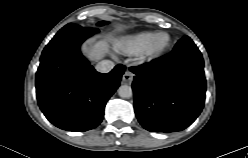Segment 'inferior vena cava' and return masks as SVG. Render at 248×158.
I'll return each instance as SVG.
<instances>
[{"label":"inferior vena cava","mask_w":248,"mask_h":158,"mask_svg":"<svg viewBox=\"0 0 248 158\" xmlns=\"http://www.w3.org/2000/svg\"><path fill=\"white\" fill-rule=\"evenodd\" d=\"M115 64L111 60H102L96 65V70L101 73H108L114 68Z\"/></svg>","instance_id":"obj_1"}]
</instances>
